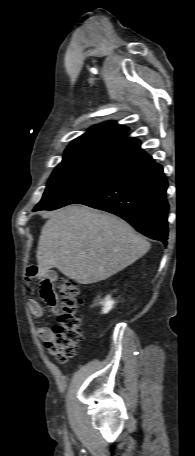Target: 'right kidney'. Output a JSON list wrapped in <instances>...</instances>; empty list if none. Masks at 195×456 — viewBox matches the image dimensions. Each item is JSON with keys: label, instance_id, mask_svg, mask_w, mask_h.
Segmentation results:
<instances>
[{"label": "right kidney", "instance_id": "obj_1", "mask_svg": "<svg viewBox=\"0 0 195 456\" xmlns=\"http://www.w3.org/2000/svg\"><path fill=\"white\" fill-rule=\"evenodd\" d=\"M102 305H103V310L102 312L104 314L108 313L112 308H113V305H114V300L111 299L110 295H108L104 301L102 302Z\"/></svg>", "mask_w": 195, "mask_h": 456}]
</instances>
